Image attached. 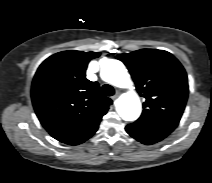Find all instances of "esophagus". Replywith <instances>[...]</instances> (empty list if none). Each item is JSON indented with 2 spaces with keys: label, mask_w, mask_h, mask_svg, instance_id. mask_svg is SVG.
I'll use <instances>...</instances> for the list:
<instances>
[{
  "label": "esophagus",
  "mask_w": 212,
  "mask_h": 183,
  "mask_svg": "<svg viewBox=\"0 0 212 183\" xmlns=\"http://www.w3.org/2000/svg\"><path fill=\"white\" fill-rule=\"evenodd\" d=\"M120 95V91H116L115 95H113L111 98L112 100H116L118 96Z\"/></svg>",
  "instance_id": "obj_1"
}]
</instances>
